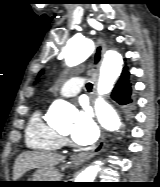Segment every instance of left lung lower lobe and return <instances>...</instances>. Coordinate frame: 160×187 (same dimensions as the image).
<instances>
[{"label":"left lung lower lobe","mask_w":160,"mask_h":187,"mask_svg":"<svg viewBox=\"0 0 160 187\" xmlns=\"http://www.w3.org/2000/svg\"><path fill=\"white\" fill-rule=\"evenodd\" d=\"M128 78V68L124 67L111 96L117 103L124 106L128 115H131L134 106V99L132 98V88Z\"/></svg>","instance_id":"0a47b994"}]
</instances>
